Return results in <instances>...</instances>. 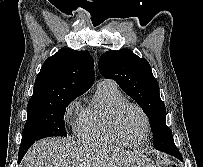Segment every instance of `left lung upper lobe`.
Wrapping results in <instances>:
<instances>
[{"label":"left lung upper lobe","instance_id":"1","mask_svg":"<svg viewBox=\"0 0 203 167\" xmlns=\"http://www.w3.org/2000/svg\"><path fill=\"white\" fill-rule=\"evenodd\" d=\"M98 68L104 78L115 80L142 107L150 120L154 143L162 138L173 139L166 125V108L160 98L157 80L145 58L138 57L129 49L107 51L101 55Z\"/></svg>","mask_w":203,"mask_h":167}]
</instances>
